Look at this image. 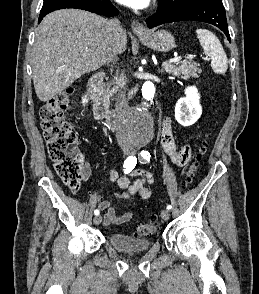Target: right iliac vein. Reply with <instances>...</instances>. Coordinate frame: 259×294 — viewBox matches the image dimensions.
Here are the masks:
<instances>
[{"instance_id":"obj_1","label":"right iliac vein","mask_w":259,"mask_h":294,"mask_svg":"<svg viewBox=\"0 0 259 294\" xmlns=\"http://www.w3.org/2000/svg\"><path fill=\"white\" fill-rule=\"evenodd\" d=\"M124 153H125L126 155H129V154H130V151H129L128 149H125V150H124ZM101 221H102V216H101V215H97V216H95V218L93 219V222H94L95 225H99V224L101 223Z\"/></svg>"}]
</instances>
